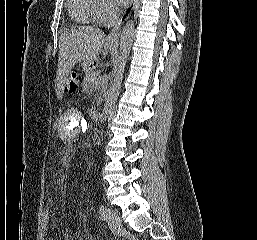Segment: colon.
<instances>
[{
  "mask_svg": "<svg viewBox=\"0 0 257 240\" xmlns=\"http://www.w3.org/2000/svg\"><path fill=\"white\" fill-rule=\"evenodd\" d=\"M80 83V77L77 73H72L66 80L65 89L70 94L77 92ZM51 220V212L49 208H45L42 215V230L45 232L48 230Z\"/></svg>",
  "mask_w": 257,
  "mask_h": 240,
  "instance_id": "5ec220e1",
  "label": "colon"
}]
</instances>
